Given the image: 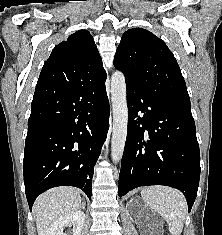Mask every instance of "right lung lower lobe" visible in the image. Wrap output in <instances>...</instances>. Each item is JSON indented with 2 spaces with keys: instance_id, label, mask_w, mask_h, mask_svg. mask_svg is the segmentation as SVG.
I'll list each match as a JSON object with an SVG mask.
<instances>
[{
  "instance_id": "98d812e1",
  "label": "right lung lower lobe",
  "mask_w": 222,
  "mask_h": 235,
  "mask_svg": "<svg viewBox=\"0 0 222 235\" xmlns=\"http://www.w3.org/2000/svg\"><path fill=\"white\" fill-rule=\"evenodd\" d=\"M107 75L65 87L37 85L28 123L23 173L29 208L42 192L74 186L92 195L94 166L109 129Z\"/></svg>"
}]
</instances>
